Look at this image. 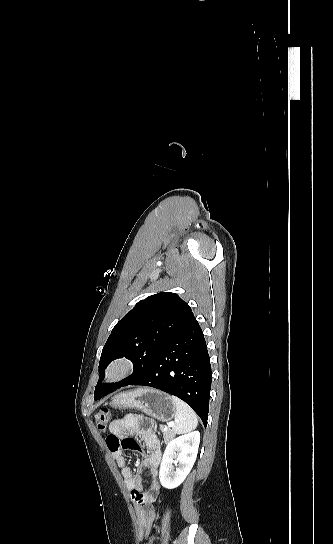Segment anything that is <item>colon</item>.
Here are the masks:
<instances>
[{
    "instance_id": "colon-1",
    "label": "colon",
    "mask_w": 333,
    "mask_h": 544,
    "mask_svg": "<svg viewBox=\"0 0 333 544\" xmlns=\"http://www.w3.org/2000/svg\"><path fill=\"white\" fill-rule=\"evenodd\" d=\"M111 416V412L108 408H102L95 414V421L97 424V427L101 431H105L109 422ZM157 529V528H156ZM156 539L155 533H153L147 540L146 544H154Z\"/></svg>"
}]
</instances>
